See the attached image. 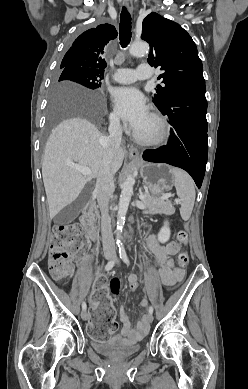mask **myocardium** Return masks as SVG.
I'll list each match as a JSON object with an SVG mask.
<instances>
[{"label":"myocardium","mask_w":248,"mask_h":389,"mask_svg":"<svg viewBox=\"0 0 248 389\" xmlns=\"http://www.w3.org/2000/svg\"><path fill=\"white\" fill-rule=\"evenodd\" d=\"M149 116L156 122L158 131L152 137H144L138 134L136 131L133 132L132 136L134 140L144 146H158L167 141L169 138V126L166 119L158 112H150Z\"/></svg>","instance_id":"obj_1"}]
</instances>
